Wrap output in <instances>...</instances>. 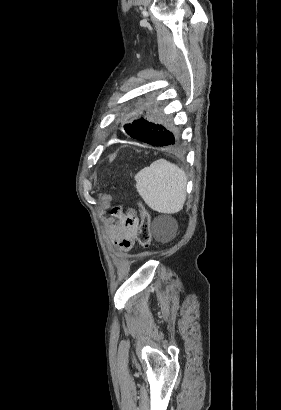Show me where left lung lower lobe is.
Returning a JSON list of instances; mask_svg holds the SVG:
<instances>
[{
  "label": "left lung lower lobe",
  "mask_w": 281,
  "mask_h": 410,
  "mask_svg": "<svg viewBox=\"0 0 281 410\" xmlns=\"http://www.w3.org/2000/svg\"><path fill=\"white\" fill-rule=\"evenodd\" d=\"M125 131L132 138L146 142L153 146H174V135L160 124L151 123L143 118L125 125Z\"/></svg>",
  "instance_id": "left-lung-lower-lobe-1"
}]
</instances>
